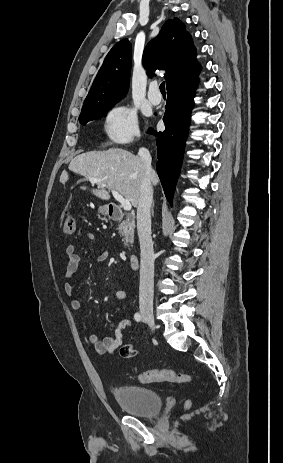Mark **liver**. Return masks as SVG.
<instances>
[{
  "label": "liver",
  "mask_w": 283,
  "mask_h": 463,
  "mask_svg": "<svg viewBox=\"0 0 283 463\" xmlns=\"http://www.w3.org/2000/svg\"><path fill=\"white\" fill-rule=\"evenodd\" d=\"M68 169L86 178H97L102 183H96L97 189L92 193L102 200H109V190L119 192L129 200L134 207L138 206L140 187L146 176L144 164L140 157L120 148H110L106 151H92L77 155L69 164ZM69 178L67 171L60 176V182L65 184ZM151 183L157 185L158 176L151 172ZM81 189L86 190L85 186Z\"/></svg>",
  "instance_id": "obj_1"
}]
</instances>
